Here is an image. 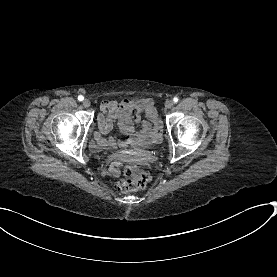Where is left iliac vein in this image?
I'll return each mask as SVG.
<instances>
[{"label": "left iliac vein", "mask_w": 277, "mask_h": 277, "mask_svg": "<svg viewBox=\"0 0 277 277\" xmlns=\"http://www.w3.org/2000/svg\"><path fill=\"white\" fill-rule=\"evenodd\" d=\"M173 105H174V102H173L172 100H167V101L165 102V107H166L167 109H171V108L173 107Z\"/></svg>", "instance_id": "obj_1"}]
</instances>
